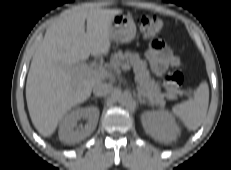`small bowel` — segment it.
I'll use <instances>...</instances> for the list:
<instances>
[{
	"label": "small bowel",
	"instance_id": "1",
	"mask_svg": "<svg viewBox=\"0 0 231 170\" xmlns=\"http://www.w3.org/2000/svg\"><path fill=\"white\" fill-rule=\"evenodd\" d=\"M146 58L156 76H162L170 67H182L180 58L175 56L165 43L158 39L151 42Z\"/></svg>",
	"mask_w": 231,
	"mask_h": 170
}]
</instances>
